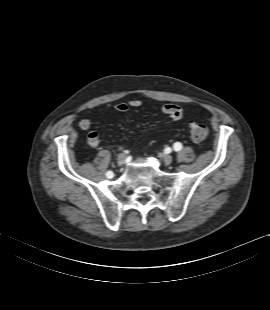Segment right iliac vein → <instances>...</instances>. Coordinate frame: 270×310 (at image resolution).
Instances as JSON below:
<instances>
[{
  "mask_svg": "<svg viewBox=\"0 0 270 310\" xmlns=\"http://www.w3.org/2000/svg\"><path fill=\"white\" fill-rule=\"evenodd\" d=\"M125 159H126V155L124 153L119 154L117 158L118 164L122 165L125 162Z\"/></svg>",
  "mask_w": 270,
  "mask_h": 310,
  "instance_id": "right-iliac-vein-1",
  "label": "right iliac vein"
}]
</instances>
